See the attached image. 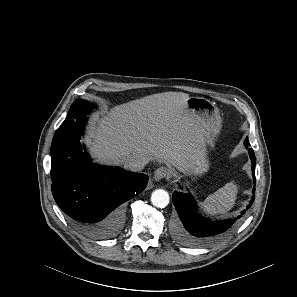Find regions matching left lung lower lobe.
Listing matches in <instances>:
<instances>
[{"mask_svg":"<svg viewBox=\"0 0 297 297\" xmlns=\"http://www.w3.org/2000/svg\"><path fill=\"white\" fill-rule=\"evenodd\" d=\"M249 156L252 163V175L255 178L256 158L252 149H249ZM254 191L255 189H253V193ZM172 200L179 216V221L173 228V237L180 244L190 247L208 245L220 239L236 225L245 213L244 210L236 218L211 221L198 214L196 202L191 195L174 192ZM253 200L254 197H252L247 209L250 208Z\"/></svg>","mask_w":297,"mask_h":297,"instance_id":"0a47b994","label":"left lung lower lobe"}]
</instances>
